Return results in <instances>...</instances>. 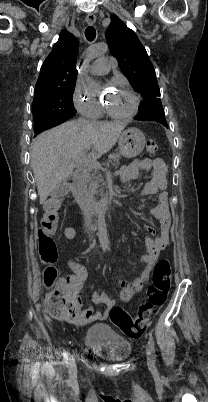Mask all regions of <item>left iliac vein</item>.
<instances>
[{
	"label": "left iliac vein",
	"mask_w": 208,
	"mask_h": 402,
	"mask_svg": "<svg viewBox=\"0 0 208 402\" xmlns=\"http://www.w3.org/2000/svg\"><path fill=\"white\" fill-rule=\"evenodd\" d=\"M146 355H147V362L150 366H153L155 363V358L152 354L150 346L147 344L146 345Z\"/></svg>",
	"instance_id": "obj_1"
}]
</instances>
